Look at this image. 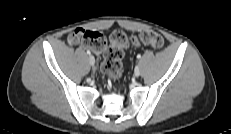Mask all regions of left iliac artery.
Listing matches in <instances>:
<instances>
[{"label": "left iliac artery", "instance_id": "44dca946", "mask_svg": "<svg viewBox=\"0 0 231 134\" xmlns=\"http://www.w3.org/2000/svg\"><path fill=\"white\" fill-rule=\"evenodd\" d=\"M137 58H138V59H140V58H141V55H140V54H138V55H137Z\"/></svg>", "mask_w": 231, "mask_h": 134}]
</instances>
